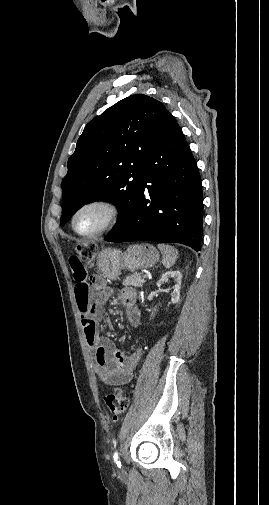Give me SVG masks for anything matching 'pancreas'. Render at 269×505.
<instances>
[{
  "label": "pancreas",
  "instance_id": "1",
  "mask_svg": "<svg viewBox=\"0 0 269 505\" xmlns=\"http://www.w3.org/2000/svg\"><path fill=\"white\" fill-rule=\"evenodd\" d=\"M145 283V280L142 278L141 273H133L130 276H127L123 280L124 286H133V287H142Z\"/></svg>",
  "mask_w": 269,
  "mask_h": 505
}]
</instances>
